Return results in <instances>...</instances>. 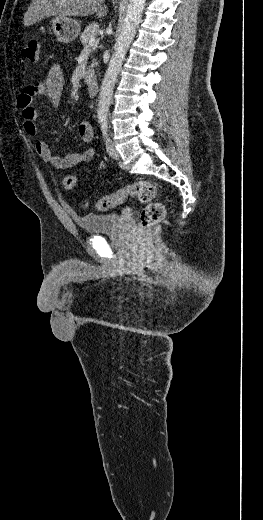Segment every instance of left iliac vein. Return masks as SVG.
<instances>
[{
    "label": "left iliac vein",
    "instance_id": "4c4485c4",
    "mask_svg": "<svg viewBox=\"0 0 263 520\" xmlns=\"http://www.w3.org/2000/svg\"><path fill=\"white\" fill-rule=\"evenodd\" d=\"M106 150L111 158L115 160L120 159V155L110 139H106Z\"/></svg>",
    "mask_w": 263,
    "mask_h": 520
}]
</instances>
